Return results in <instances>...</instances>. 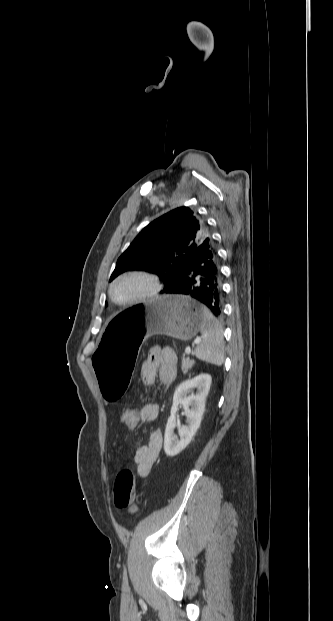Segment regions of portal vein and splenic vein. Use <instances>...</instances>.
<instances>
[{
    "label": "portal vein and splenic vein",
    "instance_id": "1",
    "mask_svg": "<svg viewBox=\"0 0 333 621\" xmlns=\"http://www.w3.org/2000/svg\"><path fill=\"white\" fill-rule=\"evenodd\" d=\"M200 342H201V338H197V339L194 341V344H199ZM190 352H191V348H190V347H187V348L185 349V353H186V354H190Z\"/></svg>",
    "mask_w": 333,
    "mask_h": 621
}]
</instances>
